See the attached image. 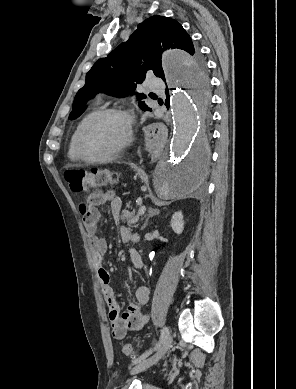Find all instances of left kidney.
<instances>
[{"mask_svg": "<svg viewBox=\"0 0 296 389\" xmlns=\"http://www.w3.org/2000/svg\"><path fill=\"white\" fill-rule=\"evenodd\" d=\"M172 230L176 234H181L184 229L183 215L181 212H175L171 218L170 222Z\"/></svg>", "mask_w": 296, "mask_h": 389, "instance_id": "5707ae66", "label": "left kidney"}]
</instances>
